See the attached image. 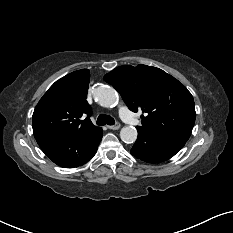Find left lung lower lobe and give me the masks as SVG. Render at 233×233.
Masks as SVG:
<instances>
[{"label":"left lung lower lobe","mask_w":233,"mask_h":233,"mask_svg":"<svg viewBox=\"0 0 233 233\" xmlns=\"http://www.w3.org/2000/svg\"><path fill=\"white\" fill-rule=\"evenodd\" d=\"M185 141L138 130V137L130 153L148 163H160L173 157Z\"/></svg>","instance_id":"0a47b994"}]
</instances>
